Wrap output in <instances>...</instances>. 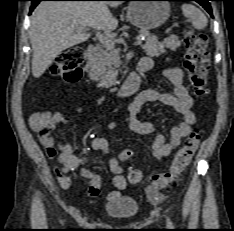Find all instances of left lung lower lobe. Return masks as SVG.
Returning <instances> with one entry per match:
<instances>
[{
    "mask_svg": "<svg viewBox=\"0 0 234 231\" xmlns=\"http://www.w3.org/2000/svg\"><path fill=\"white\" fill-rule=\"evenodd\" d=\"M125 1H132V0H125ZM170 1H196L200 5H202L211 16H213L211 6L209 3V1H212V0H170Z\"/></svg>",
    "mask_w": 234,
    "mask_h": 231,
    "instance_id": "0a47b994",
    "label": "left lung lower lobe"
}]
</instances>
